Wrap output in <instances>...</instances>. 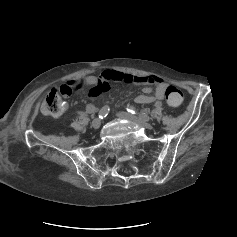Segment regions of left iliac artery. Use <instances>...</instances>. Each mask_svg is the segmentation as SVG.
Instances as JSON below:
<instances>
[{
    "label": "left iliac artery",
    "mask_w": 237,
    "mask_h": 237,
    "mask_svg": "<svg viewBox=\"0 0 237 237\" xmlns=\"http://www.w3.org/2000/svg\"><path fill=\"white\" fill-rule=\"evenodd\" d=\"M155 106H156V107H161V106H162V102L157 101V102L155 103ZM127 111L130 112V113H132V114L135 113L134 107H129V108H127Z\"/></svg>",
    "instance_id": "1"
}]
</instances>
